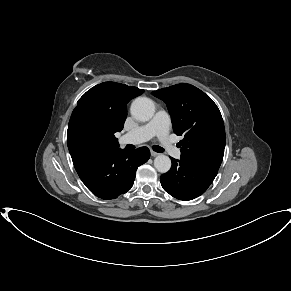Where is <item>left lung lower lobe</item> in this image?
<instances>
[{
	"label": "left lung lower lobe",
	"mask_w": 291,
	"mask_h": 291,
	"mask_svg": "<svg viewBox=\"0 0 291 291\" xmlns=\"http://www.w3.org/2000/svg\"><path fill=\"white\" fill-rule=\"evenodd\" d=\"M171 169L161 175L160 182L164 190L180 200H192L203 194L217 175L216 171H207L195 167L186 161L171 158Z\"/></svg>",
	"instance_id": "1"
}]
</instances>
